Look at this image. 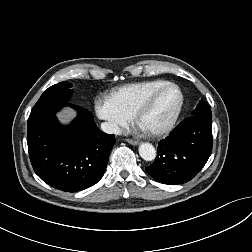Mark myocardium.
<instances>
[{
    "label": "myocardium",
    "instance_id": "myocardium-1",
    "mask_svg": "<svg viewBox=\"0 0 252 252\" xmlns=\"http://www.w3.org/2000/svg\"><path fill=\"white\" fill-rule=\"evenodd\" d=\"M170 87H174L179 91V93H180L179 105H178L176 111L174 112L171 120L162 128L154 129V130H147L144 128L146 130V132L153 137L165 136V135L169 134L174 129V127H175V125H176V123H177V121L183 111L184 105H185V94H184L182 88L174 82H167V83L157 87L156 89H154L152 92L149 93V95L144 99V101L138 106V108L134 114L137 123L142 126L141 122H142V118H143L144 114L147 112V110H149L151 108V106L153 105L157 96L162 91H164L165 89L170 88Z\"/></svg>",
    "mask_w": 252,
    "mask_h": 252
}]
</instances>
